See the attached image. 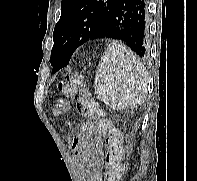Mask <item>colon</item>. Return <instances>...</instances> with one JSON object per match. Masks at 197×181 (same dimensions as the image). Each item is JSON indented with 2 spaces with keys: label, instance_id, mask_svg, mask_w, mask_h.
Instances as JSON below:
<instances>
[{
  "label": "colon",
  "instance_id": "colon-1",
  "mask_svg": "<svg viewBox=\"0 0 197 181\" xmlns=\"http://www.w3.org/2000/svg\"><path fill=\"white\" fill-rule=\"evenodd\" d=\"M56 88L62 95V98L56 102L57 112L62 113L68 111V100L74 99L81 115L86 119L98 121L99 130L105 136L107 147L104 181H120L124 174L120 130L104 117L103 110L90 97L81 75L76 73L69 74L65 80H61L56 84Z\"/></svg>",
  "mask_w": 197,
  "mask_h": 181
}]
</instances>
